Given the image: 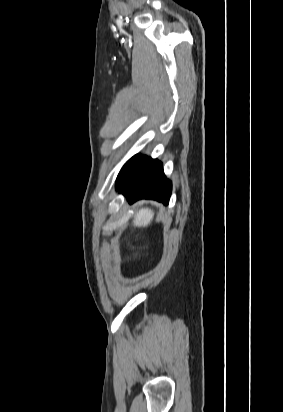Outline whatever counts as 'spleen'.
I'll use <instances>...</instances> for the list:
<instances>
[{
    "mask_svg": "<svg viewBox=\"0 0 283 412\" xmlns=\"http://www.w3.org/2000/svg\"><path fill=\"white\" fill-rule=\"evenodd\" d=\"M154 218V211L149 208L140 209L133 219V225L135 227H147L150 225Z\"/></svg>",
    "mask_w": 283,
    "mask_h": 412,
    "instance_id": "obj_1",
    "label": "spleen"
}]
</instances>
